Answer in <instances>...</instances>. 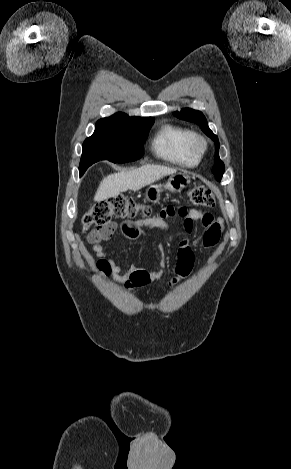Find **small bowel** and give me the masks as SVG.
<instances>
[{"label":"small bowel","instance_id":"c3829d8e","mask_svg":"<svg viewBox=\"0 0 291 469\" xmlns=\"http://www.w3.org/2000/svg\"><path fill=\"white\" fill-rule=\"evenodd\" d=\"M183 221L185 233L192 234L194 231V222L199 221L205 233L203 236V246L207 251H211L219 242L220 234L223 230V221L221 218L214 219L210 213L198 209H188L187 212L178 215ZM167 214H161L159 217L150 219H139L136 221H126L121 224V231L125 238L129 240H138L148 234V231L154 228L166 229L164 218ZM117 229V224L112 223L108 234L96 236V232L88 235V241L92 245V250L99 259L98 267L107 276H111L116 282L123 284L126 290H133L137 287L146 285L151 279L158 278L160 271L152 274L145 270L131 265L125 273H121L120 264L112 259V255L105 249L104 242L108 241ZM214 230L215 234H211ZM194 252L188 238L180 240L178 244V258L174 268L175 275L169 284H175L188 277L193 269ZM166 261L164 258L159 260L160 268H164Z\"/></svg>","mask_w":291,"mask_h":469}]
</instances>
